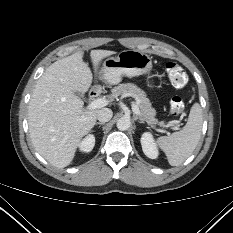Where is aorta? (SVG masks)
Masks as SVG:
<instances>
[{
  "label": "aorta",
  "instance_id": "obj_1",
  "mask_svg": "<svg viewBox=\"0 0 233 233\" xmlns=\"http://www.w3.org/2000/svg\"><path fill=\"white\" fill-rule=\"evenodd\" d=\"M130 125H131L130 119L127 117L119 118L116 124L117 128L122 131L128 130Z\"/></svg>",
  "mask_w": 233,
  "mask_h": 233
}]
</instances>
